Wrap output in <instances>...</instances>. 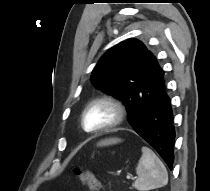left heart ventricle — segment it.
<instances>
[{"label":"left heart ventricle","instance_id":"obj_1","mask_svg":"<svg viewBox=\"0 0 210 191\" xmlns=\"http://www.w3.org/2000/svg\"><path fill=\"white\" fill-rule=\"evenodd\" d=\"M114 118L115 112L109 105L97 104L87 110L84 125L86 129L94 130L111 123Z\"/></svg>","mask_w":210,"mask_h":191}]
</instances>
